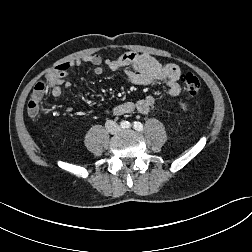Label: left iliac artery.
Returning a JSON list of instances; mask_svg holds the SVG:
<instances>
[{"mask_svg":"<svg viewBox=\"0 0 252 252\" xmlns=\"http://www.w3.org/2000/svg\"><path fill=\"white\" fill-rule=\"evenodd\" d=\"M133 128L137 131H142L143 130V124L140 122H134Z\"/></svg>","mask_w":252,"mask_h":252,"instance_id":"44dca946","label":"left iliac artery"}]
</instances>
